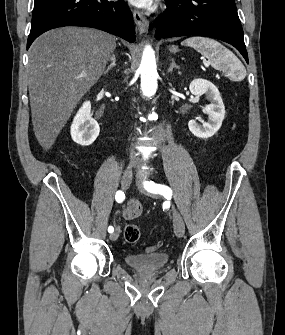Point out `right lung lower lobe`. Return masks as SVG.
Here are the masks:
<instances>
[{
  "label": "right lung lower lobe",
  "mask_w": 285,
  "mask_h": 335,
  "mask_svg": "<svg viewBox=\"0 0 285 335\" xmlns=\"http://www.w3.org/2000/svg\"><path fill=\"white\" fill-rule=\"evenodd\" d=\"M70 25L98 28L129 42L136 38L132 13L123 0H35L27 49L42 33Z\"/></svg>",
  "instance_id": "obj_1"
}]
</instances>
